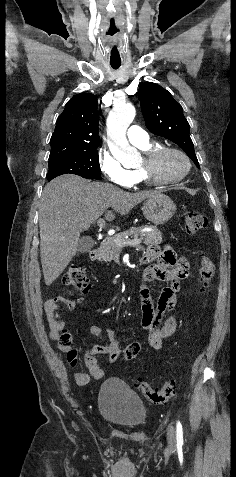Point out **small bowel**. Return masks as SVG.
Segmentation results:
<instances>
[{
  "mask_svg": "<svg viewBox=\"0 0 236 477\" xmlns=\"http://www.w3.org/2000/svg\"><path fill=\"white\" fill-rule=\"evenodd\" d=\"M156 260L155 264L149 265L144 271L145 281H161L166 285L161 289L157 300H153L149 290L142 287L141 296V325L148 334V344L152 349L162 348L163 341L170 337L177 325L176 318L171 315L165 318V315L177 304V294L181 290L180 280L185 278L189 263L185 258H178L175 251L169 247L160 248L158 246H149L143 256L144 263H150ZM178 263H184L187 267L186 274H180L177 270ZM64 305L70 310L76 308L77 303L70 297L60 295L50 298L44 303V312L50 327V337L58 342L60 349L67 350L59 342L63 322L60 317L61 306ZM88 333L96 337L100 343L88 348L85 352V364L88 373H78L75 375L77 384L84 385L89 382L90 377L102 379L105 377V370L99 366L96 355H105L109 362L115 363L122 350L116 338V331L109 327L103 329L98 325H91L87 329Z\"/></svg>",
  "mask_w": 236,
  "mask_h": 477,
  "instance_id": "obj_1",
  "label": "small bowel"
}]
</instances>
